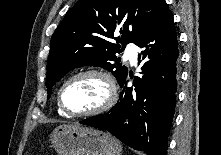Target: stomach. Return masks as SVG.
Segmentation results:
<instances>
[{
	"label": "stomach",
	"mask_w": 221,
	"mask_h": 155,
	"mask_svg": "<svg viewBox=\"0 0 221 155\" xmlns=\"http://www.w3.org/2000/svg\"><path fill=\"white\" fill-rule=\"evenodd\" d=\"M58 155H121L122 146L112 135L77 125H60L50 137Z\"/></svg>",
	"instance_id": "stomach-1"
}]
</instances>
